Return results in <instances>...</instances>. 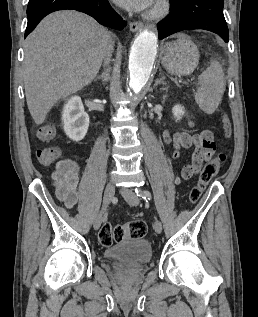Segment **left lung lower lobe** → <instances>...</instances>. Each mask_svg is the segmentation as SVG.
Returning <instances> with one entry per match:
<instances>
[{"label":"left lung lower lobe","instance_id":"0a47b994","mask_svg":"<svg viewBox=\"0 0 258 317\" xmlns=\"http://www.w3.org/2000/svg\"><path fill=\"white\" fill-rule=\"evenodd\" d=\"M170 11V15L158 23L159 39L183 30L204 29L228 42L223 0H177L171 2Z\"/></svg>","mask_w":258,"mask_h":317}]
</instances>
